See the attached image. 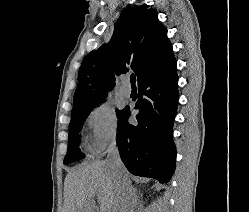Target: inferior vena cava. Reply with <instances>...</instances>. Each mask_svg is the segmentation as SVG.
<instances>
[{"instance_id":"inferior-vena-cava-1","label":"inferior vena cava","mask_w":249,"mask_h":212,"mask_svg":"<svg viewBox=\"0 0 249 212\" xmlns=\"http://www.w3.org/2000/svg\"><path fill=\"white\" fill-rule=\"evenodd\" d=\"M110 166H113L115 172V192L118 196L115 202L114 212H133L132 186L129 180V174L123 166L116 142H112L107 150V160Z\"/></svg>"}]
</instances>
